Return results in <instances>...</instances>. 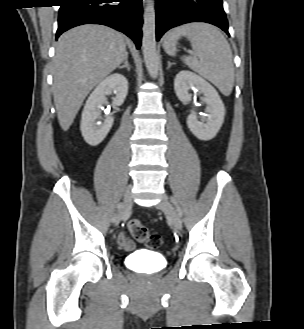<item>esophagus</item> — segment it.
<instances>
[{
  "mask_svg": "<svg viewBox=\"0 0 304 329\" xmlns=\"http://www.w3.org/2000/svg\"><path fill=\"white\" fill-rule=\"evenodd\" d=\"M147 0H143V3H146Z\"/></svg>",
  "mask_w": 304,
  "mask_h": 329,
  "instance_id": "esophagus-1",
  "label": "esophagus"
}]
</instances>
